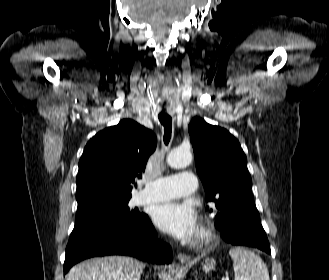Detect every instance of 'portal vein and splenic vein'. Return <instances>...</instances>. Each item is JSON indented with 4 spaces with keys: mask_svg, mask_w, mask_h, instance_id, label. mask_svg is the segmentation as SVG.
Listing matches in <instances>:
<instances>
[{
    "mask_svg": "<svg viewBox=\"0 0 329 280\" xmlns=\"http://www.w3.org/2000/svg\"><path fill=\"white\" fill-rule=\"evenodd\" d=\"M222 280H229L228 278H223Z\"/></svg>",
    "mask_w": 329,
    "mask_h": 280,
    "instance_id": "obj_1",
    "label": "portal vein and splenic vein"
}]
</instances>
